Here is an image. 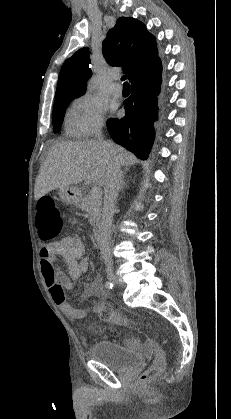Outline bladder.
<instances>
[{"label": "bladder", "mask_w": 231, "mask_h": 419, "mask_svg": "<svg viewBox=\"0 0 231 419\" xmlns=\"http://www.w3.org/2000/svg\"><path fill=\"white\" fill-rule=\"evenodd\" d=\"M91 358L118 373H127L144 363V356L127 350L110 340L96 341L90 350Z\"/></svg>", "instance_id": "1"}]
</instances>
